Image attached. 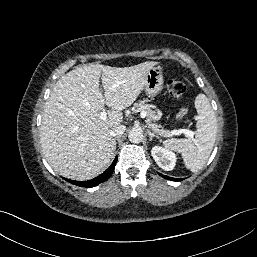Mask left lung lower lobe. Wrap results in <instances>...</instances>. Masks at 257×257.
<instances>
[{"label":"left lung lower lobe","instance_id":"1","mask_svg":"<svg viewBox=\"0 0 257 257\" xmlns=\"http://www.w3.org/2000/svg\"><path fill=\"white\" fill-rule=\"evenodd\" d=\"M162 177H164V178H166V179H169V180H172V181H181V180H183V179H179V178H172V177H168V176H165V175H162V174H160Z\"/></svg>","mask_w":257,"mask_h":257}]
</instances>
